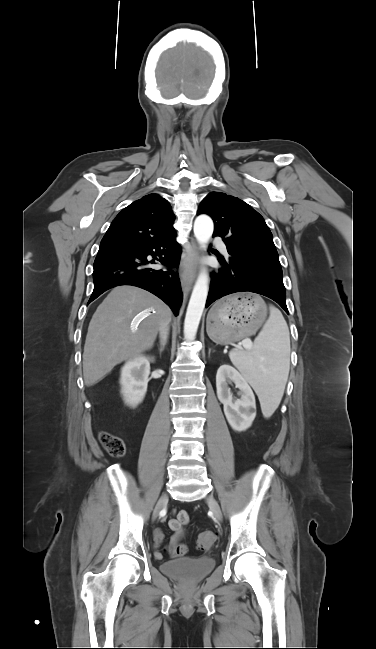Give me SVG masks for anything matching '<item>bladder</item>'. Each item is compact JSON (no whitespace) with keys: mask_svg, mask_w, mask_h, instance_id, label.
<instances>
[{"mask_svg":"<svg viewBox=\"0 0 376 649\" xmlns=\"http://www.w3.org/2000/svg\"><path fill=\"white\" fill-rule=\"evenodd\" d=\"M215 566L214 559L210 557L181 558L165 561L161 564V571L185 582H198L209 574Z\"/></svg>","mask_w":376,"mask_h":649,"instance_id":"31cf9c89","label":"bladder"}]
</instances>
